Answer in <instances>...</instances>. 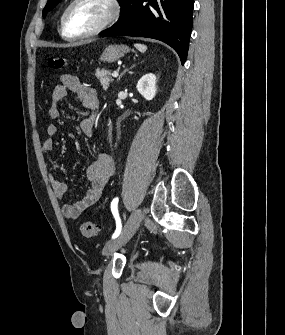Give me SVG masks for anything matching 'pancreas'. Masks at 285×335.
<instances>
[{"mask_svg": "<svg viewBox=\"0 0 285 335\" xmlns=\"http://www.w3.org/2000/svg\"><path fill=\"white\" fill-rule=\"evenodd\" d=\"M95 76L100 80L103 90H108L110 82H113V78H110L109 70H99V68H97Z\"/></svg>", "mask_w": 285, "mask_h": 335, "instance_id": "1", "label": "pancreas"}]
</instances>
